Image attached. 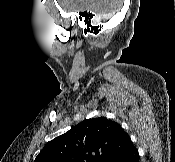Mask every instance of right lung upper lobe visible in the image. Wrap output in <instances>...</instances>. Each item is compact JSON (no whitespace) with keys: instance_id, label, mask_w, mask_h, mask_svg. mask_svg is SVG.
<instances>
[{"instance_id":"cb5924a9","label":"right lung upper lobe","mask_w":175,"mask_h":162,"mask_svg":"<svg viewBox=\"0 0 175 162\" xmlns=\"http://www.w3.org/2000/svg\"><path fill=\"white\" fill-rule=\"evenodd\" d=\"M133 146L117 122L92 118L50 141L34 162H111Z\"/></svg>"}]
</instances>
